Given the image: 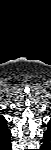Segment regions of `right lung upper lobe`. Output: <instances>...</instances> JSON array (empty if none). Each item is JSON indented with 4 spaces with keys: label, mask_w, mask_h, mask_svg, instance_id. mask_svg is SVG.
Masks as SVG:
<instances>
[{
    "label": "right lung upper lobe",
    "mask_w": 51,
    "mask_h": 150,
    "mask_svg": "<svg viewBox=\"0 0 51 150\" xmlns=\"http://www.w3.org/2000/svg\"><path fill=\"white\" fill-rule=\"evenodd\" d=\"M11 137V132L8 129L6 119L0 115V148L4 149L8 145Z\"/></svg>",
    "instance_id": "1"
}]
</instances>
